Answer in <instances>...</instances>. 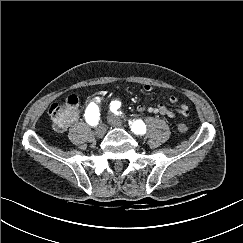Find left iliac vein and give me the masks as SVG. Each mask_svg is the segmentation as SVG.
I'll use <instances>...</instances> for the list:
<instances>
[{"label":"left iliac vein","instance_id":"obj_1","mask_svg":"<svg viewBox=\"0 0 243 243\" xmlns=\"http://www.w3.org/2000/svg\"><path fill=\"white\" fill-rule=\"evenodd\" d=\"M108 123L113 127H123L122 121L113 114H109L107 117Z\"/></svg>","mask_w":243,"mask_h":243}]
</instances>
